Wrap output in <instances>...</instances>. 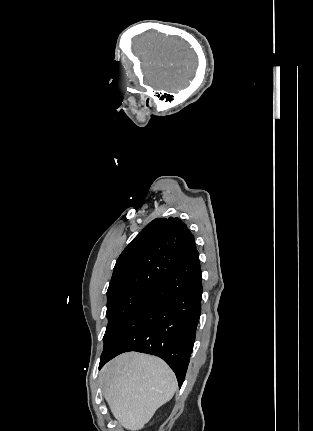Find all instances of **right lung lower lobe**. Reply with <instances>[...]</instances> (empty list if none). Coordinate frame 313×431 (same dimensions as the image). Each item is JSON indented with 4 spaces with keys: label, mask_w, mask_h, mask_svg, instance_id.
<instances>
[{
    "label": "right lung lower lobe",
    "mask_w": 313,
    "mask_h": 431,
    "mask_svg": "<svg viewBox=\"0 0 313 431\" xmlns=\"http://www.w3.org/2000/svg\"><path fill=\"white\" fill-rule=\"evenodd\" d=\"M198 251L155 287L104 346L101 368L115 356L137 351L162 358L182 385L201 314Z\"/></svg>",
    "instance_id": "obj_1"
}]
</instances>
